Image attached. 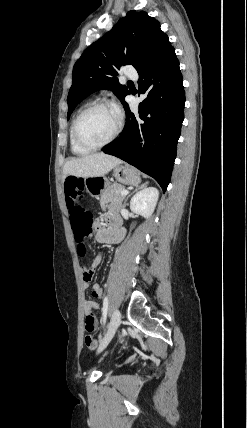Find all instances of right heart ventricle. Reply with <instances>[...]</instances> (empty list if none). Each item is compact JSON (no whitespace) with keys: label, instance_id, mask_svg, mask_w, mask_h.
<instances>
[{"label":"right heart ventricle","instance_id":"e07e8e85","mask_svg":"<svg viewBox=\"0 0 247 428\" xmlns=\"http://www.w3.org/2000/svg\"><path fill=\"white\" fill-rule=\"evenodd\" d=\"M75 118H76V117H75ZM75 118L73 119L72 124H71V126H70V130H69V142H70V148H71V151H72L74 154H76V155H85V154H88L91 150L86 149V148H84V147H81V146H80V145H78V144L76 143V141L74 140V137H73V123H74Z\"/></svg>","mask_w":247,"mask_h":428}]
</instances>
